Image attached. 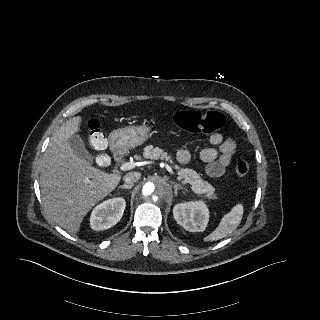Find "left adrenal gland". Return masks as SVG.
Segmentation results:
<instances>
[{"instance_id":"1","label":"left adrenal gland","mask_w":320,"mask_h":320,"mask_svg":"<svg viewBox=\"0 0 320 320\" xmlns=\"http://www.w3.org/2000/svg\"><path fill=\"white\" fill-rule=\"evenodd\" d=\"M173 184H174V189H175V194H176V195H177V193H178V190H185V191H187L186 188L178 185L177 183L173 182Z\"/></svg>"}]
</instances>
